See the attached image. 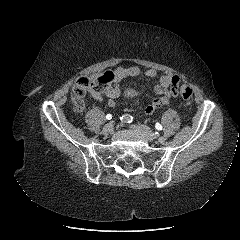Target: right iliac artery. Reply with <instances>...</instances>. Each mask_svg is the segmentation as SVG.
<instances>
[{
  "label": "right iliac artery",
  "instance_id": "right-iliac-artery-1",
  "mask_svg": "<svg viewBox=\"0 0 240 240\" xmlns=\"http://www.w3.org/2000/svg\"><path fill=\"white\" fill-rule=\"evenodd\" d=\"M122 123H131L133 121V117L130 114H124L120 117Z\"/></svg>",
  "mask_w": 240,
  "mask_h": 240
}]
</instances>
